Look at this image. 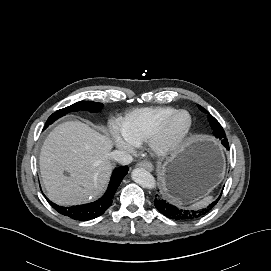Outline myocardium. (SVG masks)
I'll use <instances>...</instances> for the list:
<instances>
[{"label": "myocardium", "mask_w": 271, "mask_h": 271, "mask_svg": "<svg viewBox=\"0 0 271 271\" xmlns=\"http://www.w3.org/2000/svg\"><path fill=\"white\" fill-rule=\"evenodd\" d=\"M185 114L188 117V125L180 135H172V127L176 119ZM193 130L192 115L184 109L176 110L162 124V126L148 140L149 149L159 157H167L177 152L190 138Z\"/></svg>", "instance_id": "obj_1"}]
</instances>
